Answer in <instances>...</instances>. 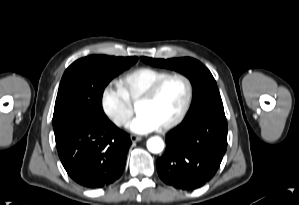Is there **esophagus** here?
I'll return each mask as SVG.
<instances>
[{
  "label": "esophagus",
  "mask_w": 299,
  "mask_h": 205,
  "mask_svg": "<svg viewBox=\"0 0 299 205\" xmlns=\"http://www.w3.org/2000/svg\"><path fill=\"white\" fill-rule=\"evenodd\" d=\"M130 139L132 142H137V141H140L142 139V137L132 134V135H130Z\"/></svg>",
  "instance_id": "34e87169"
}]
</instances>
